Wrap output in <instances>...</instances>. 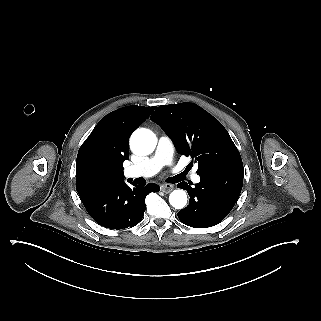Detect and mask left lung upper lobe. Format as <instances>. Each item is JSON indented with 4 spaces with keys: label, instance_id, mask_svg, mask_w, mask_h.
Segmentation results:
<instances>
[{
    "label": "left lung upper lobe",
    "instance_id": "1",
    "mask_svg": "<svg viewBox=\"0 0 321 321\" xmlns=\"http://www.w3.org/2000/svg\"><path fill=\"white\" fill-rule=\"evenodd\" d=\"M150 119L160 125L181 155L195 159L198 175L219 167L243 165L227 130L193 103L159 106Z\"/></svg>",
    "mask_w": 321,
    "mask_h": 321
}]
</instances>
